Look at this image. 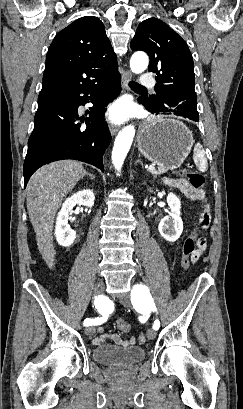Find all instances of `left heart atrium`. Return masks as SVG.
<instances>
[{
	"mask_svg": "<svg viewBox=\"0 0 243 409\" xmlns=\"http://www.w3.org/2000/svg\"><path fill=\"white\" fill-rule=\"evenodd\" d=\"M129 114V108L125 103H117L113 105L109 111V117L114 122L124 120Z\"/></svg>",
	"mask_w": 243,
	"mask_h": 409,
	"instance_id": "1",
	"label": "left heart atrium"
}]
</instances>
